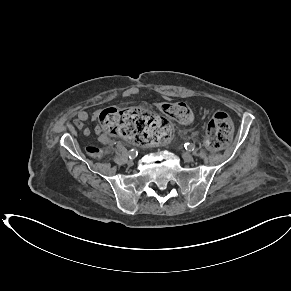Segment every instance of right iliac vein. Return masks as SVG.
I'll return each mask as SVG.
<instances>
[{
    "label": "right iliac vein",
    "mask_w": 291,
    "mask_h": 291,
    "mask_svg": "<svg viewBox=\"0 0 291 291\" xmlns=\"http://www.w3.org/2000/svg\"><path fill=\"white\" fill-rule=\"evenodd\" d=\"M127 164H128V166H133L134 161L133 160H129Z\"/></svg>",
    "instance_id": "63e3f726"
}]
</instances>
